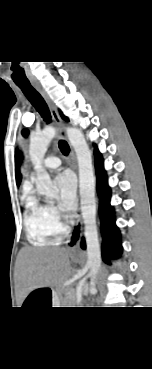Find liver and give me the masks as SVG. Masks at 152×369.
<instances>
[{"instance_id":"6515ba94","label":"liver","mask_w":152,"mask_h":369,"mask_svg":"<svg viewBox=\"0 0 152 369\" xmlns=\"http://www.w3.org/2000/svg\"><path fill=\"white\" fill-rule=\"evenodd\" d=\"M19 261L18 278L25 293L62 284L70 274L65 249L25 247L19 253Z\"/></svg>"}]
</instances>
